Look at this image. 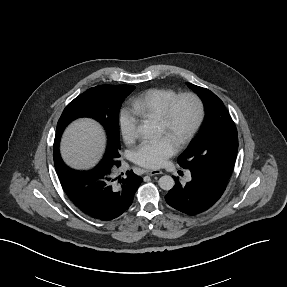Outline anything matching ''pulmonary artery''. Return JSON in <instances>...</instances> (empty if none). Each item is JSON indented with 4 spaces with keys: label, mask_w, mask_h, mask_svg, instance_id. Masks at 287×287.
Here are the masks:
<instances>
[{
    "label": "pulmonary artery",
    "mask_w": 287,
    "mask_h": 287,
    "mask_svg": "<svg viewBox=\"0 0 287 287\" xmlns=\"http://www.w3.org/2000/svg\"><path fill=\"white\" fill-rule=\"evenodd\" d=\"M190 178H191V177H190V175L188 174V175H187V179L189 180Z\"/></svg>",
    "instance_id": "1"
}]
</instances>
